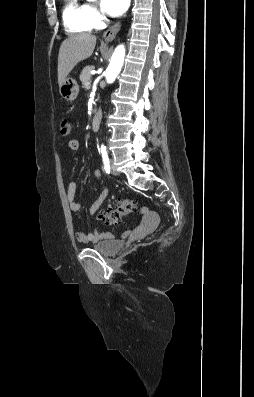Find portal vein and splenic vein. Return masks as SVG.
I'll use <instances>...</instances> for the list:
<instances>
[{
	"instance_id": "18ae733b",
	"label": "portal vein and splenic vein",
	"mask_w": 254,
	"mask_h": 397,
	"mask_svg": "<svg viewBox=\"0 0 254 397\" xmlns=\"http://www.w3.org/2000/svg\"><path fill=\"white\" fill-rule=\"evenodd\" d=\"M90 85H91V82H90V81L86 83V86H87V87H90Z\"/></svg>"
}]
</instances>
